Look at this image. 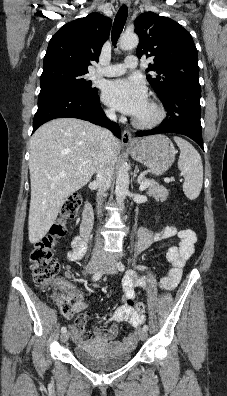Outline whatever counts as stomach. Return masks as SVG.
Returning a JSON list of instances; mask_svg holds the SVG:
<instances>
[{
  "label": "stomach",
  "mask_w": 227,
  "mask_h": 396,
  "mask_svg": "<svg viewBox=\"0 0 227 396\" xmlns=\"http://www.w3.org/2000/svg\"><path fill=\"white\" fill-rule=\"evenodd\" d=\"M129 149L132 157L148 167L155 175L166 172L175 160V148L164 135L143 138Z\"/></svg>",
  "instance_id": "stomach-1"
}]
</instances>
